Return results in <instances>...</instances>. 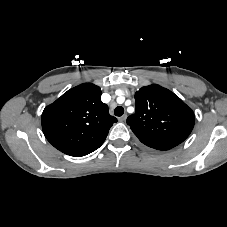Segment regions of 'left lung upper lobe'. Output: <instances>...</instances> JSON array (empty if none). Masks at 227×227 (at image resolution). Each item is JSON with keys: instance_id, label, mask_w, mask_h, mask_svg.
<instances>
[{"instance_id": "1", "label": "left lung upper lobe", "mask_w": 227, "mask_h": 227, "mask_svg": "<svg viewBox=\"0 0 227 227\" xmlns=\"http://www.w3.org/2000/svg\"><path fill=\"white\" fill-rule=\"evenodd\" d=\"M136 113L127 124L147 147L169 150L182 143L191 133L195 116L177 95L153 84L135 93Z\"/></svg>"}]
</instances>
